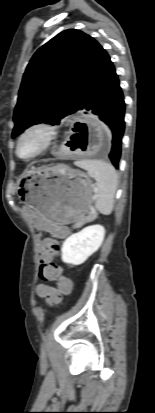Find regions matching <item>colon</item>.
Masks as SVG:
<instances>
[{
  "instance_id": "5ec220e1",
  "label": "colon",
  "mask_w": 155,
  "mask_h": 413,
  "mask_svg": "<svg viewBox=\"0 0 155 413\" xmlns=\"http://www.w3.org/2000/svg\"><path fill=\"white\" fill-rule=\"evenodd\" d=\"M57 243L53 239H48L42 244L39 252V277L44 281H55L58 289L51 290L47 294V302L50 305L59 304L64 295H67L73 289V282L68 278L66 273H62L53 260Z\"/></svg>"
}]
</instances>
